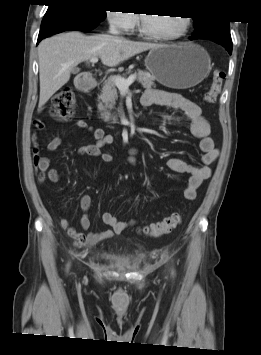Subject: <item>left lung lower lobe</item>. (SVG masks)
<instances>
[{"label": "left lung lower lobe", "mask_w": 261, "mask_h": 355, "mask_svg": "<svg viewBox=\"0 0 261 355\" xmlns=\"http://www.w3.org/2000/svg\"><path fill=\"white\" fill-rule=\"evenodd\" d=\"M205 39H208V40L215 41V42L219 43L220 45H222L223 47H225L227 49L229 54L232 53V41L226 42V41H221V40H217V39H210V38H205Z\"/></svg>", "instance_id": "obj_1"}]
</instances>
